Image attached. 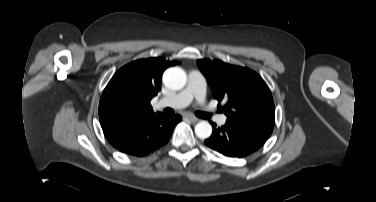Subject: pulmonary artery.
I'll return each mask as SVG.
<instances>
[{
	"mask_svg": "<svg viewBox=\"0 0 376 202\" xmlns=\"http://www.w3.org/2000/svg\"><path fill=\"white\" fill-rule=\"evenodd\" d=\"M196 100L204 113L215 117L219 124L226 122V116L218 115V113L206 102V83L203 74L197 70H193L188 75V83L186 88L177 94L163 98L158 102V106H170L173 108H182L189 105L192 100Z\"/></svg>",
	"mask_w": 376,
	"mask_h": 202,
	"instance_id": "obj_1",
	"label": "pulmonary artery"
}]
</instances>
